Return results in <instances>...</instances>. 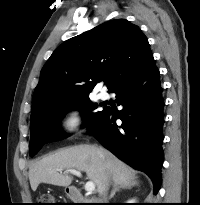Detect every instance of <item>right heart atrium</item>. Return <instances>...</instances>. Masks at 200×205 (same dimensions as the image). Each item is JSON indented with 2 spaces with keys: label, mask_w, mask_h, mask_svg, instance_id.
Listing matches in <instances>:
<instances>
[{
  "label": "right heart atrium",
  "mask_w": 200,
  "mask_h": 205,
  "mask_svg": "<svg viewBox=\"0 0 200 205\" xmlns=\"http://www.w3.org/2000/svg\"><path fill=\"white\" fill-rule=\"evenodd\" d=\"M85 122L82 109L78 106H70L62 113L60 118V130L65 134H76Z\"/></svg>",
  "instance_id": "d8ad5b80"
}]
</instances>
